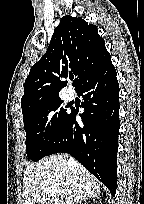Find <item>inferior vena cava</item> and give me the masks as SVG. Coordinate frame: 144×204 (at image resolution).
<instances>
[{"label": "inferior vena cava", "instance_id": "inferior-vena-cava-1", "mask_svg": "<svg viewBox=\"0 0 144 204\" xmlns=\"http://www.w3.org/2000/svg\"><path fill=\"white\" fill-rule=\"evenodd\" d=\"M68 163H69V164H74V159H73L72 157H70V158L68 159ZM68 204H76V200H75V199H74V200H71V201L68 202Z\"/></svg>", "mask_w": 144, "mask_h": 204}]
</instances>
